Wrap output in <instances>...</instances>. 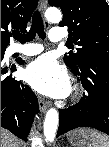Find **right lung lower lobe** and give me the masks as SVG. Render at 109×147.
<instances>
[{"label": "right lung lower lobe", "instance_id": "right-lung-lower-lobe-1", "mask_svg": "<svg viewBox=\"0 0 109 147\" xmlns=\"http://www.w3.org/2000/svg\"><path fill=\"white\" fill-rule=\"evenodd\" d=\"M15 69L13 65L1 66V127L26 141L39 106L35 94L27 85L6 76L9 70L13 72Z\"/></svg>", "mask_w": 109, "mask_h": 147}]
</instances>
